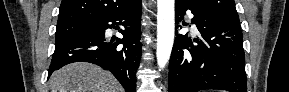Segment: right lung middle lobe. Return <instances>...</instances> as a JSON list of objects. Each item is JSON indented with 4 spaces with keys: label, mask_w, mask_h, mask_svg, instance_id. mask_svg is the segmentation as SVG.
<instances>
[{
    "label": "right lung middle lobe",
    "mask_w": 289,
    "mask_h": 92,
    "mask_svg": "<svg viewBox=\"0 0 289 92\" xmlns=\"http://www.w3.org/2000/svg\"><path fill=\"white\" fill-rule=\"evenodd\" d=\"M93 22H74L57 25L55 43H59L67 38L84 33L91 29Z\"/></svg>",
    "instance_id": "obj_1"
}]
</instances>
